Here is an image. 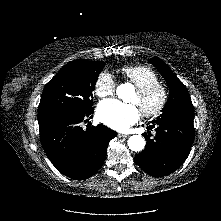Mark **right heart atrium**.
<instances>
[{
	"label": "right heart atrium",
	"mask_w": 221,
	"mask_h": 221,
	"mask_svg": "<svg viewBox=\"0 0 221 221\" xmlns=\"http://www.w3.org/2000/svg\"><path fill=\"white\" fill-rule=\"evenodd\" d=\"M115 87L116 82L113 76L107 71H102L95 80L94 92L98 97L103 98L111 95Z\"/></svg>",
	"instance_id": "d8ad5b80"
}]
</instances>
